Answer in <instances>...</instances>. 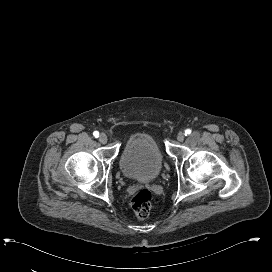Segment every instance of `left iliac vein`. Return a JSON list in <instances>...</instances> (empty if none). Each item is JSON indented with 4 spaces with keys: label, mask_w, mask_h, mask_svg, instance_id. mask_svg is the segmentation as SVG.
I'll return each mask as SVG.
<instances>
[{
    "label": "left iliac vein",
    "mask_w": 272,
    "mask_h": 272,
    "mask_svg": "<svg viewBox=\"0 0 272 272\" xmlns=\"http://www.w3.org/2000/svg\"><path fill=\"white\" fill-rule=\"evenodd\" d=\"M185 139V133L184 132H179L178 135H177V140L179 142H183Z\"/></svg>",
    "instance_id": "1"
}]
</instances>
